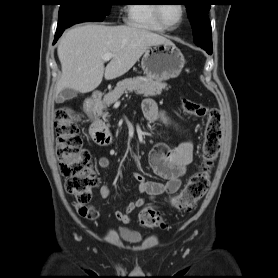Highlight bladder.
Instances as JSON below:
<instances>
[{
	"mask_svg": "<svg viewBox=\"0 0 278 278\" xmlns=\"http://www.w3.org/2000/svg\"><path fill=\"white\" fill-rule=\"evenodd\" d=\"M120 236L123 240L129 243H136L140 241V236L129 231H120Z\"/></svg>",
	"mask_w": 278,
	"mask_h": 278,
	"instance_id": "obj_1",
	"label": "bladder"
}]
</instances>
